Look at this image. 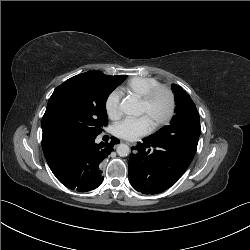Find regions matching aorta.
Instances as JSON below:
<instances>
[{
  "instance_id": "762f6f07",
  "label": "aorta",
  "mask_w": 250,
  "mask_h": 250,
  "mask_svg": "<svg viewBox=\"0 0 250 250\" xmlns=\"http://www.w3.org/2000/svg\"><path fill=\"white\" fill-rule=\"evenodd\" d=\"M120 109L127 115L139 116L141 114L140 106L135 99L127 98L120 103ZM117 153L121 157L129 155L130 148L126 144L117 146Z\"/></svg>"
}]
</instances>
